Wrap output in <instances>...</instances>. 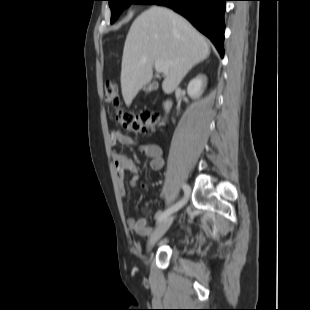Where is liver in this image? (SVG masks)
<instances>
[{
  "label": "liver",
  "mask_w": 310,
  "mask_h": 310,
  "mask_svg": "<svg viewBox=\"0 0 310 310\" xmlns=\"http://www.w3.org/2000/svg\"><path fill=\"white\" fill-rule=\"evenodd\" d=\"M210 54L205 39L186 19L163 7H151L132 23L126 37L121 68V89L129 107L153 77L156 61L168 63L162 83L172 93L188 71Z\"/></svg>",
  "instance_id": "6515ba94"
}]
</instances>
